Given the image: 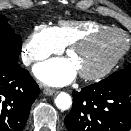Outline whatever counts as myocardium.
Returning <instances> with one entry per match:
<instances>
[{
  "label": "myocardium",
  "instance_id": "myocardium-1",
  "mask_svg": "<svg viewBox=\"0 0 131 131\" xmlns=\"http://www.w3.org/2000/svg\"><path fill=\"white\" fill-rule=\"evenodd\" d=\"M108 34L122 35L126 40L125 46L112 59H110L106 64H104L102 67L98 68L97 70L90 71V72H79V75L81 76V78H83L85 80H97V79H100V78L104 77L105 75H107L120 62V60L125 56V54L128 52L130 45H131L130 37L128 36V34L126 32H124L121 29L110 27V28L91 32V33L75 40L71 44H69L68 52L73 53L74 51H76L78 49H82V48L90 45L91 43H93L94 41L99 39L100 37H102L104 35H108Z\"/></svg>",
  "mask_w": 131,
  "mask_h": 131
}]
</instances>
